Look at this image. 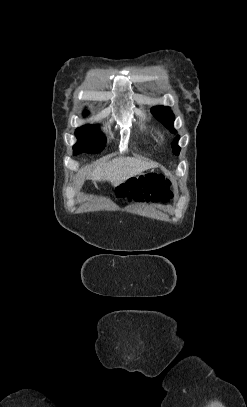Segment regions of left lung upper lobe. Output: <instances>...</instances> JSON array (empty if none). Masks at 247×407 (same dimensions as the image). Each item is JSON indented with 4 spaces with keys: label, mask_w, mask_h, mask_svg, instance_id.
<instances>
[{
    "label": "left lung upper lobe",
    "mask_w": 247,
    "mask_h": 407,
    "mask_svg": "<svg viewBox=\"0 0 247 407\" xmlns=\"http://www.w3.org/2000/svg\"><path fill=\"white\" fill-rule=\"evenodd\" d=\"M151 112L160 122L163 123V125L166 128L170 130V132L176 133V130L173 127L175 117L169 107L164 106L153 107L151 109ZM179 138L180 137L177 136L172 143L173 153L175 155H179L180 152V147L177 145Z\"/></svg>",
    "instance_id": "1"
}]
</instances>
